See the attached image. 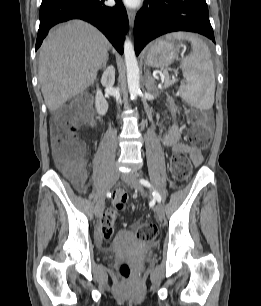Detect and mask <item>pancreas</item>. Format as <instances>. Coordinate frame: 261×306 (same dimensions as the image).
<instances>
[{
    "label": "pancreas",
    "mask_w": 261,
    "mask_h": 306,
    "mask_svg": "<svg viewBox=\"0 0 261 306\" xmlns=\"http://www.w3.org/2000/svg\"><path fill=\"white\" fill-rule=\"evenodd\" d=\"M170 84H171V81H169V80L166 79L163 88L168 87ZM163 88H161V89H163Z\"/></svg>",
    "instance_id": "obj_1"
}]
</instances>
